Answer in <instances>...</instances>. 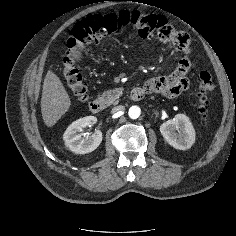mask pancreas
I'll use <instances>...</instances> for the list:
<instances>
[{"label": "pancreas", "instance_id": "pancreas-1", "mask_svg": "<svg viewBox=\"0 0 236 236\" xmlns=\"http://www.w3.org/2000/svg\"><path fill=\"white\" fill-rule=\"evenodd\" d=\"M123 93V88H115L105 91L102 95L98 97L101 102L107 105L118 103V99Z\"/></svg>", "mask_w": 236, "mask_h": 236}]
</instances>
